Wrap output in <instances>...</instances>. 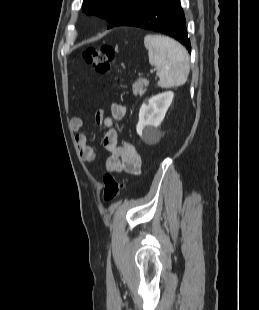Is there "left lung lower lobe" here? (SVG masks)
Instances as JSON below:
<instances>
[{"mask_svg": "<svg viewBox=\"0 0 259 310\" xmlns=\"http://www.w3.org/2000/svg\"><path fill=\"white\" fill-rule=\"evenodd\" d=\"M115 26H135L161 32L175 38L191 52L180 0H149L128 11Z\"/></svg>", "mask_w": 259, "mask_h": 310, "instance_id": "0a47b994", "label": "left lung lower lobe"}]
</instances>
